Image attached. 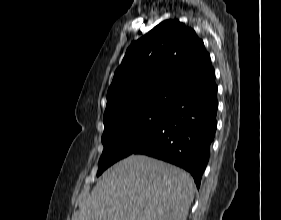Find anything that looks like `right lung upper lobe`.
I'll return each instance as SVG.
<instances>
[{"instance_id":"right-lung-upper-lobe-1","label":"right lung upper lobe","mask_w":281,"mask_h":220,"mask_svg":"<svg viewBox=\"0 0 281 220\" xmlns=\"http://www.w3.org/2000/svg\"><path fill=\"white\" fill-rule=\"evenodd\" d=\"M213 84L203 41L178 20L163 21L127 49L108 89L104 125L130 114L168 111Z\"/></svg>"}]
</instances>
